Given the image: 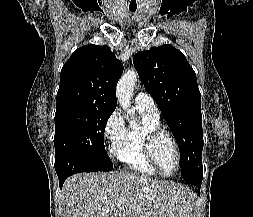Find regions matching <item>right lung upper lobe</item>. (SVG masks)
Wrapping results in <instances>:
<instances>
[{
  "mask_svg": "<svg viewBox=\"0 0 253 217\" xmlns=\"http://www.w3.org/2000/svg\"><path fill=\"white\" fill-rule=\"evenodd\" d=\"M123 65L106 45L76 49L61 70L57 107L83 105L114 111Z\"/></svg>",
  "mask_w": 253,
  "mask_h": 217,
  "instance_id": "right-lung-upper-lobe-1",
  "label": "right lung upper lobe"
}]
</instances>
